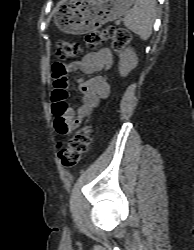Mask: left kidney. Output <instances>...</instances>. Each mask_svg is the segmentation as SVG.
Returning a JSON list of instances; mask_svg holds the SVG:
<instances>
[{
    "label": "left kidney",
    "mask_w": 194,
    "mask_h": 250,
    "mask_svg": "<svg viewBox=\"0 0 194 250\" xmlns=\"http://www.w3.org/2000/svg\"><path fill=\"white\" fill-rule=\"evenodd\" d=\"M138 64V58L132 48H127L120 55L119 72L122 76H126Z\"/></svg>",
    "instance_id": "5707ae66"
}]
</instances>
